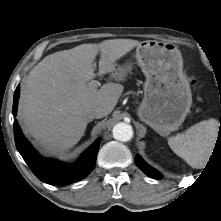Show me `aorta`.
I'll list each match as a JSON object with an SVG mask.
<instances>
[{
	"label": "aorta",
	"instance_id": "aorta-1",
	"mask_svg": "<svg viewBox=\"0 0 221 221\" xmlns=\"http://www.w3.org/2000/svg\"><path fill=\"white\" fill-rule=\"evenodd\" d=\"M112 132L116 140L123 142L129 141L133 137L132 126L124 122L116 124Z\"/></svg>",
	"mask_w": 221,
	"mask_h": 221
}]
</instances>
